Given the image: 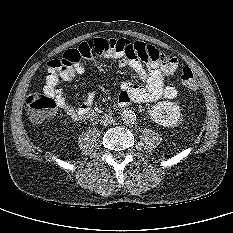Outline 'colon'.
<instances>
[{"label": "colon", "instance_id": "obj_1", "mask_svg": "<svg viewBox=\"0 0 233 233\" xmlns=\"http://www.w3.org/2000/svg\"><path fill=\"white\" fill-rule=\"evenodd\" d=\"M124 49L122 40H95L81 44L78 48L69 49L58 59L50 61V67L57 71H66L73 67L81 59H95L103 54ZM180 80L190 90L197 88V82L192 70L183 68ZM26 105L30 118L35 122H41L50 117L58 107L56 97L53 93L35 91L26 98Z\"/></svg>", "mask_w": 233, "mask_h": 233}]
</instances>
